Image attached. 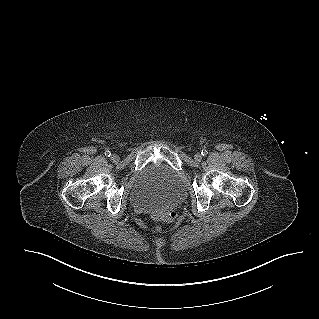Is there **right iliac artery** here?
Masks as SVG:
<instances>
[{"label":"right iliac artery","instance_id":"1","mask_svg":"<svg viewBox=\"0 0 319 319\" xmlns=\"http://www.w3.org/2000/svg\"><path fill=\"white\" fill-rule=\"evenodd\" d=\"M105 155H106L107 157H110V156H111V152H110V151H106V152H105Z\"/></svg>","mask_w":319,"mask_h":319}]
</instances>
